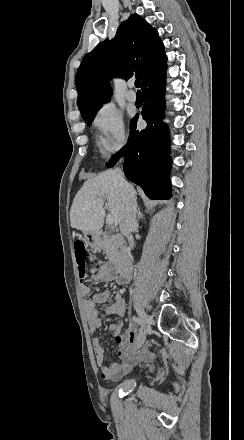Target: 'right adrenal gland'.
<instances>
[{"label": "right adrenal gland", "mask_w": 244, "mask_h": 440, "mask_svg": "<svg viewBox=\"0 0 244 440\" xmlns=\"http://www.w3.org/2000/svg\"><path fill=\"white\" fill-rule=\"evenodd\" d=\"M137 216H138V222H139V220H141V218L143 216L142 212H140V208H138V210H137Z\"/></svg>", "instance_id": "1"}]
</instances>
